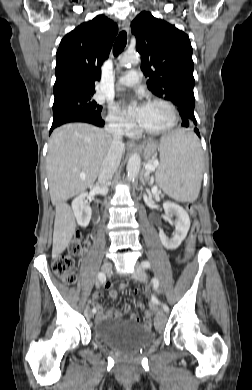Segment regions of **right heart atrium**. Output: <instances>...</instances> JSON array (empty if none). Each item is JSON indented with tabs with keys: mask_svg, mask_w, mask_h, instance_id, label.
Listing matches in <instances>:
<instances>
[{
	"mask_svg": "<svg viewBox=\"0 0 252 390\" xmlns=\"http://www.w3.org/2000/svg\"><path fill=\"white\" fill-rule=\"evenodd\" d=\"M106 121L111 128H114L123 134L132 133L134 128L132 122L119 113L113 106L109 107Z\"/></svg>",
	"mask_w": 252,
	"mask_h": 390,
	"instance_id": "1",
	"label": "right heart atrium"
}]
</instances>
